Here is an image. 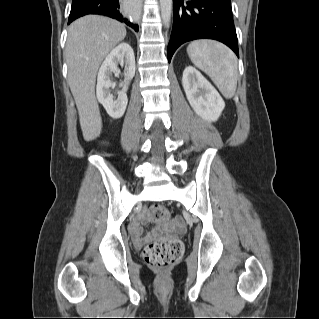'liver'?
Masks as SVG:
<instances>
[{
  "label": "liver",
  "mask_w": 319,
  "mask_h": 319,
  "mask_svg": "<svg viewBox=\"0 0 319 319\" xmlns=\"http://www.w3.org/2000/svg\"><path fill=\"white\" fill-rule=\"evenodd\" d=\"M125 37L122 23L99 15L79 18L68 28L65 48L68 83L86 141L96 139L102 130L95 97L97 71L105 56Z\"/></svg>",
  "instance_id": "liver-1"
}]
</instances>
